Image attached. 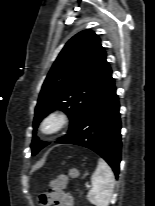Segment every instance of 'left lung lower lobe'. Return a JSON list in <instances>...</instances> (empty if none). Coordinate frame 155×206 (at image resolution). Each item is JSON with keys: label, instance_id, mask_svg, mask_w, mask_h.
<instances>
[{"label": "left lung lower lobe", "instance_id": "0a47b994", "mask_svg": "<svg viewBox=\"0 0 155 206\" xmlns=\"http://www.w3.org/2000/svg\"><path fill=\"white\" fill-rule=\"evenodd\" d=\"M121 121L114 79L87 107L75 127L56 143L75 144L98 153L118 177Z\"/></svg>", "mask_w": 155, "mask_h": 206}]
</instances>
